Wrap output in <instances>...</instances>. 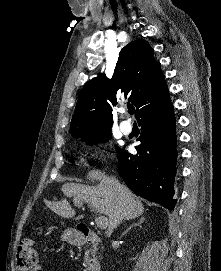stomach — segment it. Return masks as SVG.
Instances as JSON below:
<instances>
[{
  "instance_id": "0dacf381",
  "label": "stomach",
  "mask_w": 221,
  "mask_h": 271,
  "mask_svg": "<svg viewBox=\"0 0 221 271\" xmlns=\"http://www.w3.org/2000/svg\"><path fill=\"white\" fill-rule=\"evenodd\" d=\"M62 238H81V233L79 230H64Z\"/></svg>"
}]
</instances>
